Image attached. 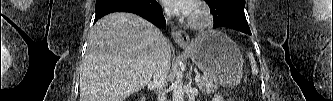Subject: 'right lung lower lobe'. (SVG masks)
I'll return each instance as SVG.
<instances>
[{
	"label": "right lung lower lobe",
	"mask_w": 333,
	"mask_h": 101,
	"mask_svg": "<svg viewBox=\"0 0 333 101\" xmlns=\"http://www.w3.org/2000/svg\"><path fill=\"white\" fill-rule=\"evenodd\" d=\"M94 23L112 12H130L142 16L158 27L166 25L161 6L156 0H96Z\"/></svg>",
	"instance_id": "1"
}]
</instances>
